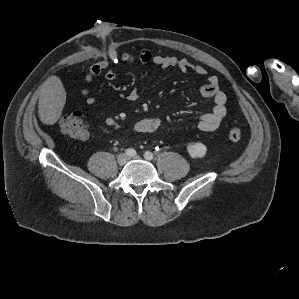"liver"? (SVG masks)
Returning a JSON list of instances; mask_svg holds the SVG:
<instances>
[{
  "label": "liver",
  "instance_id": "obj_1",
  "mask_svg": "<svg viewBox=\"0 0 299 299\" xmlns=\"http://www.w3.org/2000/svg\"><path fill=\"white\" fill-rule=\"evenodd\" d=\"M66 103V91L59 77L52 75L43 83L39 103L38 114L42 123L55 124L61 116Z\"/></svg>",
  "mask_w": 299,
  "mask_h": 299
}]
</instances>
